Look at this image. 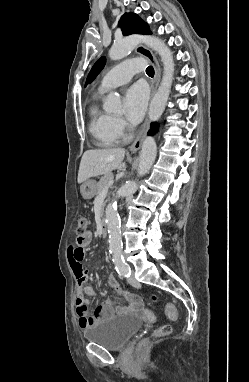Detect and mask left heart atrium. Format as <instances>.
Wrapping results in <instances>:
<instances>
[{
	"label": "left heart atrium",
	"instance_id": "left-heart-atrium-1",
	"mask_svg": "<svg viewBox=\"0 0 249 382\" xmlns=\"http://www.w3.org/2000/svg\"><path fill=\"white\" fill-rule=\"evenodd\" d=\"M148 102L146 89L136 84L130 87L124 97L125 115L132 123H138L144 116Z\"/></svg>",
	"mask_w": 249,
	"mask_h": 382
}]
</instances>
